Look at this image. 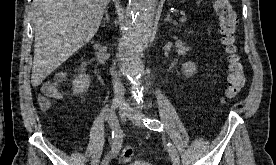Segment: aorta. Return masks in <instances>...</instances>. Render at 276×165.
<instances>
[{"mask_svg":"<svg viewBox=\"0 0 276 165\" xmlns=\"http://www.w3.org/2000/svg\"><path fill=\"white\" fill-rule=\"evenodd\" d=\"M157 4L158 0H129L128 2L120 66L122 71L132 79H135L143 70L140 54L152 35ZM137 97H142L140 87L137 88Z\"/></svg>","mask_w":276,"mask_h":165,"instance_id":"762f6f07","label":"aorta"}]
</instances>
